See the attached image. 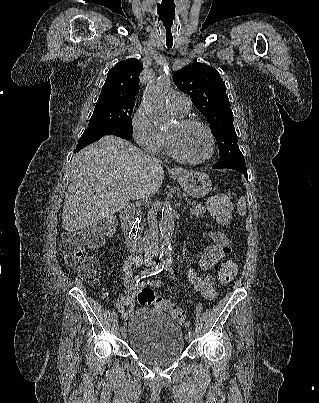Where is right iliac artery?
Instances as JSON below:
<instances>
[{
  "instance_id": "82829eb1",
  "label": "right iliac artery",
  "mask_w": 319,
  "mask_h": 403,
  "mask_svg": "<svg viewBox=\"0 0 319 403\" xmlns=\"http://www.w3.org/2000/svg\"><path fill=\"white\" fill-rule=\"evenodd\" d=\"M165 267V263H158L155 267H152L151 269L142 271L140 274H138L133 280H132V289H136L139 286V281L143 278L152 276V275H156L159 272H161L163 270V268ZM125 329L124 326H122L120 328V331H123Z\"/></svg>"
}]
</instances>
